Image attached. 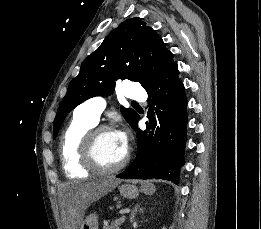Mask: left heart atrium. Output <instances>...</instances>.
<instances>
[{
	"label": "left heart atrium",
	"mask_w": 261,
	"mask_h": 229,
	"mask_svg": "<svg viewBox=\"0 0 261 229\" xmlns=\"http://www.w3.org/2000/svg\"><path fill=\"white\" fill-rule=\"evenodd\" d=\"M117 134V137L120 141V144L123 148V150L127 151L128 150V144H129V139H128V134L124 130H117L115 131Z\"/></svg>",
	"instance_id": "1"
}]
</instances>
